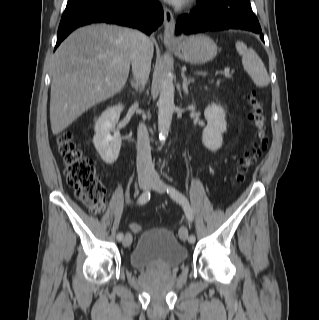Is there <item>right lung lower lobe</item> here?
Listing matches in <instances>:
<instances>
[{
	"instance_id": "1",
	"label": "right lung lower lobe",
	"mask_w": 319,
	"mask_h": 320,
	"mask_svg": "<svg viewBox=\"0 0 319 320\" xmlns=\"http://www.w3.org/2000/svg\"><path fill=\"white\" fill-rule=\"evenodd\" d=\"M163 10L158 0H83L66 7L57 34L55 49L74 29L95 22L138 28L150 34L162 24Z\"/></svg>"
}]
</instances>
